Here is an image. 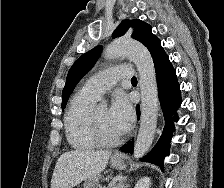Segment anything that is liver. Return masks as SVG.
Masks as SVG:
<instances>
[{"label": "liver", "instance_id": "obj_1", "mask_svg": "<svg viewBox=\"0 0 224 188\" xmlns=\"http://www.w3.org/2000/svg\"><path fill=\"white\" fill-rule=\"evenodd\" d=\"M111 151L71 150L57 160L51 188H73L99 175L106 167Z\"/></svg>", "mask_w": 224, "mask_h": 188}]
</instances>
